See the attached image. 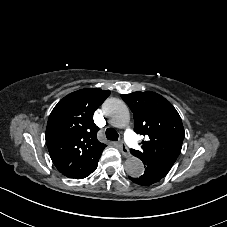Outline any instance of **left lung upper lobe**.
I'll return each mask as SVG.
<instances>
[{"instance_id":"left-lung-upper-lobe-1","label":"left lung upper lobe","mask_w":227,"mask_h":227,"mask_svg":"<svg viewBox=\"0 0 227 227\" xmlns=\"http://www.w3.org/2000/svg\"><path fill=\"white\" fill-rule=\"evenodd\" d=\"M134 114V131L147 136L142 150L131 149L146 169L166 176L182 148L185 137L182 120L173 105L154 92L121 94Z\"/></svg>"}]
</instances>
